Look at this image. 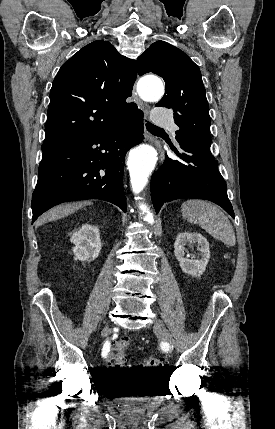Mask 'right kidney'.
Listing matches in <instances>:
<instances>
[{"label":"right kidney","instance_id":"1","mask_svg":"<svg viewBox=\"0 0 275 429\" xmlns=\"http://www.w3.org/2000/svg\"><path fill=\"white\" fill-rule=\"evenodd\" d=\"M70 240L75 245L73 248L75 260L90 262L98 257L101 250V239L97 226L83 225L72 234Z\"/></svg>","mask_w":275,"mask_h":429}]
</instances>
